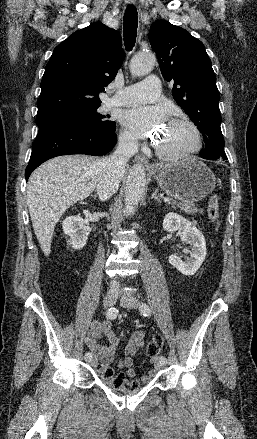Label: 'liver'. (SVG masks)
I'll return each mask as SVG.
<instances>
[{
  "instance_id": "1",
  "label": "liver",
  "mask_w": 257,
  "mask_h": 439,
  "mask_svg": "<svg viewBox=\"0 0 257 439\" xmlns=\"http://www.w3.org/2000/svg\"><path fill=\"white\" fill-rule=\"evenodd\" d=\"M101 160L86 155L59 156L42 164L30 176L27 205L45 255L51 252L54 228L65 211L96 188Z\"/></svg>"
}]
</instances>
